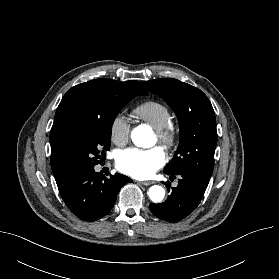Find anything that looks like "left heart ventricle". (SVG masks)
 <instances>
[{
  "instance_id": "obj_1",
  "label": "left heart ventricle",
  "mask_w": 279,
  "mask_h": 279,
  "mask_svg": "<svg viewBox=\"0 0 279 279\" xmlns=\"http://www.w3.org/2000/svg\"><path fill=\"white\" fill-rule=\"evenodd\" d=\"M155 141H158V140H157V137H155Z\"/></svg>"
}]
</instances>
